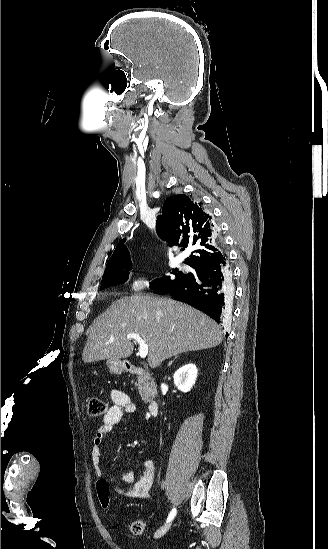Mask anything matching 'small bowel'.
<instances>
[{"mask_svg":"<svg viewBox=\"0 0 328 549\" xmlns=\"http://www.w3.org/2000/svg\"><path fill=\"white\" fill-rule=\"evenodd\" d=\"M113 405L103 417L102 424L96 430L92 441L91 462L95 473L101 476L102 451L101 445L108 433L121 422L125 415L135 411V405L130 397L123 391L113 389L110 393ZM143 469L138 480L135 481V473L132 470L114 475L110 478L115 490L127 497L135 499H150L155 480L154 463L145 459L142 461ZM130 486L125 487V485Z\"/></svg>","mask_w":328,"mask_h":549,"instance_id":"obj_1","label":"small bowel"}]
</instances>
